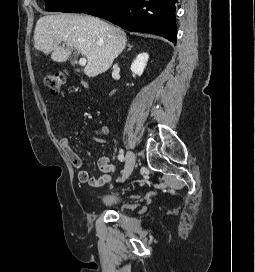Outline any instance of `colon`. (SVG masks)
<instances>
[{"instance_id": "1", "label": "colon", "mask_w": 255, "mask_h": 272, "mask_svg": "<svg viewBox=\"0 0 255 272\" xmlns=\"http://www.w3.org/2000/svg\"><path fill=\"white\" fill-rule=\"evenodd\" d=\"M65 81V75L62 72H47L43 77L44 85L53 95H58Z\"/></svg>"}]
</instances>
